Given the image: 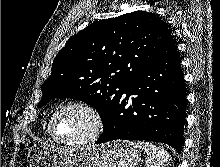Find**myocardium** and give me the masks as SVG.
<instances>
[{"instance_id":"obj_1","label":"myocardium","mask_w":220,"mask_h":167,"mask_svg":"<svg viewBox=\"0 0 220 167\" xmlns=\"http://www.w3.org/2000/svg\"><path fill=\"white\" fill-rule=\"evenodd\" d=\"M68 109H79L85 112L89 116L91 120V129L86 135L70 140H63L56 136L54 131L55 121L62 112ZM104 128H105L104 119L101 113L96 108L85 102L72 101L63 104L54 112L48 124V133L50 137L53 139V141H55L60 145L82 146L96 141L102 135Z\"/></svg>"}]
</instances>
